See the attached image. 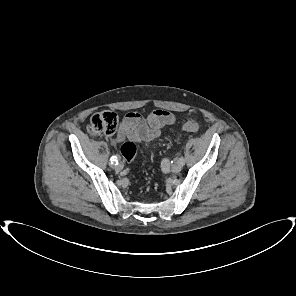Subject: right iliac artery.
<instances>
[{
  "label": "right iliac artery",
  "instance_id": "obj_1",
  "mask_svg": "<svg viewBox=\"0 0 296 296\" xmlns=\"http://www.w3.org/2000/svg\"><path fill=\"white\" fill-rule=\"evenodd\" d=\"M111 164H112V165H116V164H118V159H117L116 156L111 157Z\"/></svg>",
  "mask_w": 296,
  "mask_h": 296
}]
</instances>
